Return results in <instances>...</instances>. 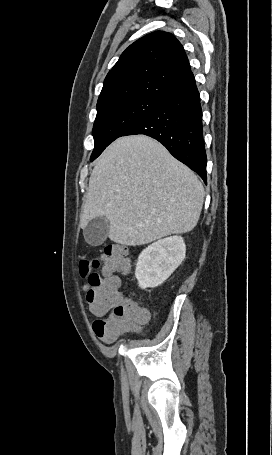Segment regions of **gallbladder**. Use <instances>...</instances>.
<instances>
[{
    "instance_id": "1",
    "label": "gallbladder",
    "mask_w": 272,
    "mask_h": 455,
    "mask_svg": "<svg viewBox=\"0 0 272 455\" xmlns=\"http://www.w3.org/2000/svg\"><path fill=\"white\" fill-rule=\"evenodd\" d=\"M109 228L110 223L105 217H95L84 228V238L90 245H101L108 236Z\"/></svg>"
}]
</instances>
